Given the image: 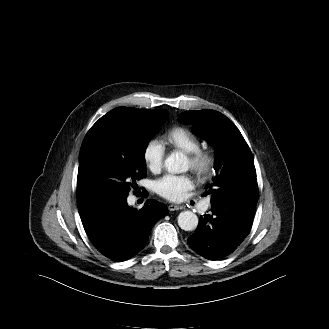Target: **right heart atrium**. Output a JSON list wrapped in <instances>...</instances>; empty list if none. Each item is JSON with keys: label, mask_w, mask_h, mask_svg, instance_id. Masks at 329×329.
Instances as JSON below:
<instances>
[{"label": "right heart atrium", "mask_w": 329, "mask_h": 329, "mask_svg": "<svg viewBox=\"0 0 329 329\" xmlns=\"http://www.w3.org/2000/svg\"><path fill=\"white\" fill-rule=\"evenodd\" d=\"M145 166L152 172L161 169L165 158V147L157 138L149 139L142 151Z\"/></svg>", "instance_id": "1"}]
</instances>
